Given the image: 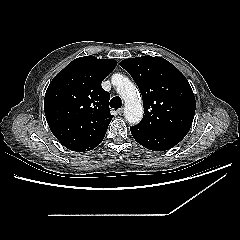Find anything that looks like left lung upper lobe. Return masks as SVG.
I'll use <instances>...</instances> for the list:
<instances>
[{"mask_svg":"<svg viewBox=\"0 0 240 240\" xmlns=\"http://www.w3.org/2000/svg\"><path fill=\"white\" fill-rule=\"evenodd\" d=\"M134 79L143 99L144 116L136 128L187 132L196 102L186 77L162 57L142 56L120 62Z\"/></svg>","mask_w":240,"mask_h":240,"instance_id":"left-lung-upper-lobe-1","label":"left lung upper lobe"}]
</instances>
